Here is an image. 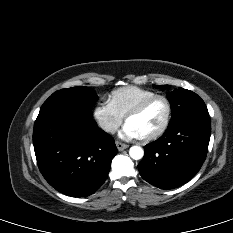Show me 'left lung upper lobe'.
I'll return each mask as SVG.
<instances>
[{
	"label": "left lung upper lobe",
	"instance_id": "left-lung-upper-lobe-1",
	"mask_svg": "<svg viewBox=\"0 0 233 233\" xmlns=\"http://www.w3.org/2000/svg\"><path fill=\"white\" fill-rule=\"evenodd\" d=\"M154 87L164 89L168 85H154ZM167 97L172 109V117L169 125L194 115H209L204 101L190 90L183 88L175 89L168 93Z\"/></svg>",
	"mask_w": 233,
	"mask_h": 233
}]
</instances>
